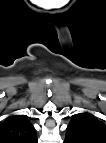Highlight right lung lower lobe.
<instances>
[{
	"label": "right lung lower lobe",
	"mask_w": 106,
	"mask_h": 143,
	"mask_svg": "<svg viewBox=\"0 0 106 143\" xmlns=\"http://www.w3.org/2000/svg\"><path fill=\"white\" fill-rule=\"evenodd\" d=\"M32 143H37V138Z\"/></svg>",
	"instance_id": "right-lung-lower-lobe-1"
}]
</instances>
